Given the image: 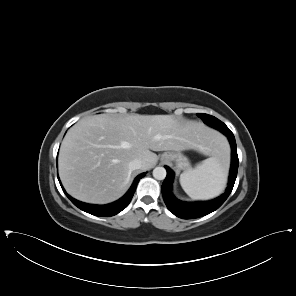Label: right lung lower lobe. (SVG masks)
<instances>
[{
    "label": "right lung lower lobe",
    "instance_id": "obj_1",
    "mask_svg": "<svg viewBox=\"0 0 296 296\" xmlns=\"http://www.w3.org/2000/svg\"><path fill=\"white\" fill-rule=\"evenodd\" d=\"M145 174L146 173H142L135 178L131 188L128 190V192L122 198H120L119 200H117L111 204H107V205H91V204H86V203L80 202V201L70 197L63 189L61 183H60V185H61L64 193L67 195V197L79 209H81L89 214L95 215V216L107 217V216L116 215L117 213L121 212L123 209H125L128 206V204L130 203V201L134 195V192L136 190L137 183L139 182V180L142 177L145 176Z\"/></svg>",
    "mask_w": 296,
    "mask_h": 296
}]
</instances>
